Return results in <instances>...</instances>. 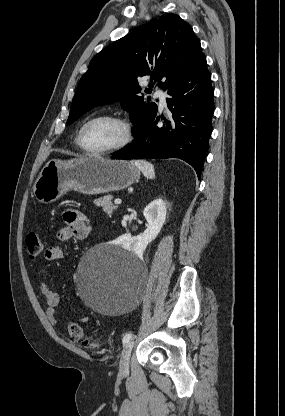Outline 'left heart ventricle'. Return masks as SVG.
I'll return each mask as SVG.
<instances>
[{"instance_id":"obj_1","label":"left heart ventricle","mask_w":285,"mask_h":416,"mask_svg":"<svg viewBox=\"0 0 285 416\" xmlns=\"http://www.w3.org/2000/svg\"><path fill=\"white\" fill-rule=\"evenodd\" d=\"M121 136V130L116 123L102 119L87 125L82 138L88 149L99 151L118 144Z\"/></svg>"}]
</instances>
